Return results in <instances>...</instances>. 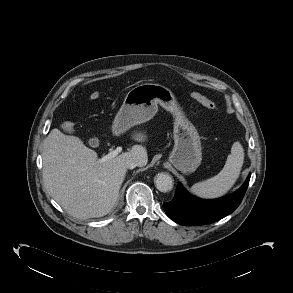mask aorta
<instances>
[{"label":"aorta","mask_w":293,"mask_h":293,"mask_svg":"<svg viewBox=\"0 0 293 293\" xmlns=\"http://www.w3.org/2000/svg\"><path fill=\"white\" fill-rule=\"evenodd\" d=\"M154 182L160 192L165 193L173 188V179L168 173H158Z\"/></svg>","instance_id":"762f6f07"}]
</instances>
